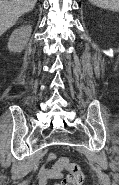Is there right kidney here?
Instances as JSON below:
<instances>
[{
	"label": "right kidney",
	"mask_w": 119,
	"mask_h": 185,
	"mask_svg": "<svg viewBox=\"0 0 119 185\" xmlns=\"http://www.w3.org/2000/svg\"><path fill=\"white\" fill-rule=\"evenodd\" d=\"M32 32L31 25H23L14 30L8 42V49L11 52H21L30 38Z\"/></svg>",
	"instance_id": "1"
}]
</instances>
